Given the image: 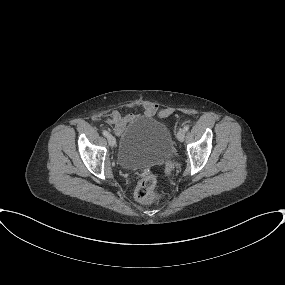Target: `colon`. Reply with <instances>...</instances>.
<instances>
[{
    "mask_svg": "<svg viewBox=\"0 0 285 285\" xmlns=\"http://www.w3.org/2000/svg\"><path fill=\"white\" fill-rule=\"evenodd\" d=\"M156 177L151 174H145L137 185L134 197L139 203H150L156 199L155 195Z\"/></svg>",
    "mask_w": 285,
    "mask_h": 285,
    "instance_id": "colon-1",
    "label": "colon"
}]
</instances>
